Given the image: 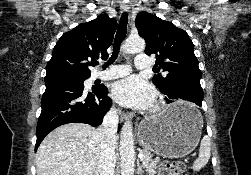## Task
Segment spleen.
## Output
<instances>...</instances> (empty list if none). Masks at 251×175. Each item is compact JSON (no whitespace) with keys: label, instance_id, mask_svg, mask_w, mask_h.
I'll return each mask as SVG.
<instances>
[{"label":"spleen","instance_id":"obj_1","mask_svg":"<svg viewBox=\"0 0 251 175\" xmlns=\"http://www.w3.org/2000/svg\"><path fill=\"white\" fill-rule=\"evenodd\" d=\"M198 113L199 115H201L200 111H198ZM210 145V137H208V135H204L203 139H201L199 155L193 163L192 169H194V171H199L201 167H204V165H206L208 159H210Z\"/></svg>","mask_w":251,"mask_h":175}]
</instances>
